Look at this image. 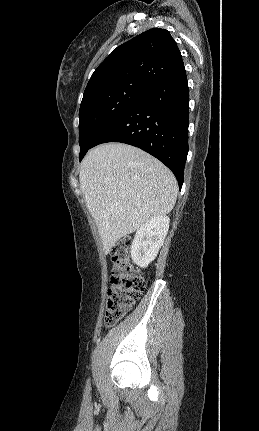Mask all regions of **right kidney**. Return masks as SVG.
I'll list each match as a JSON object with an SVG mask.
<instances>
[{"label": "right kidney", "instance_id": "obj_1", "mask_svg": "<svg viewBox=\"0 0 259 431\" xmlns=\"http://www.w3.org/2000/svg\"><path fill=\"white\" fill-rule=\"evenodd\" d=\"M169 222L168 216H157L137 230L131 246V257L135 264L145 268L155 259L167 235Z\"/></svg>", "mask_w": 259, "mask_h": 431}]
</instances>
